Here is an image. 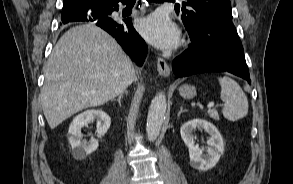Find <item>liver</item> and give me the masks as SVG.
<instances>
[{
    "mask_svg": "<svg viewBox=\"0 0 293 184\" xmlns=\"http://www.w3.org/2000/svg\"><path fill=\"white\" fill-rule=\"evenodd\" d=\"M40 94L51 129L75 113L105 104L135 80L130 58L94 24L69 29L55 45L44 68Z\"/></svg>",
    "mask_w": 293,
    "mask_h": 184,
    "instance_id": "obj_1",
    "label": "liver"
}]
</instances>
